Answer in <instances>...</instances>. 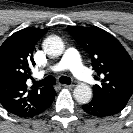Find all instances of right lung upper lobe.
<instances>
[{"mask_svg": "<svg viewBox=\"0 0 133 133\" xmlns=\"http://www.w3.org/2000/svg\"><path fill=\"white\" fill-rule=\"evenodd\" d=\"M47 29H22L8 37L0 46V103L19 117L40 114L51 102L52 87H28L31 77L32 54Z\"/></svg>", "mask_w": 133, "mask_h": 133, "instance_id": "obj_1", "label": "right lung upper lobe"}]
</instances>
